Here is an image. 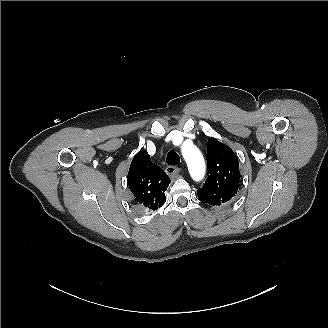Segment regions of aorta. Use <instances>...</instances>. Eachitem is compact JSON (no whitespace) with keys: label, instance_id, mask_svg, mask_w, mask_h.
Instances as JSON below:
<instances>
[{"label":"aorta","instance_id":"1","mask_svg":"<svg viewBox=\"0 0 328 328\" xmlns=\"http://www.w3.org/2000/svg\"><path fill=\"white\" fill-rule=\"evenodd\" d=\"M182 155L187 163L191 177L200 181L205 175V163L201 152L192 144L185 143L182 146Z\"/></svg>","mask_w":328,"mask_h":328}]
</instances>
